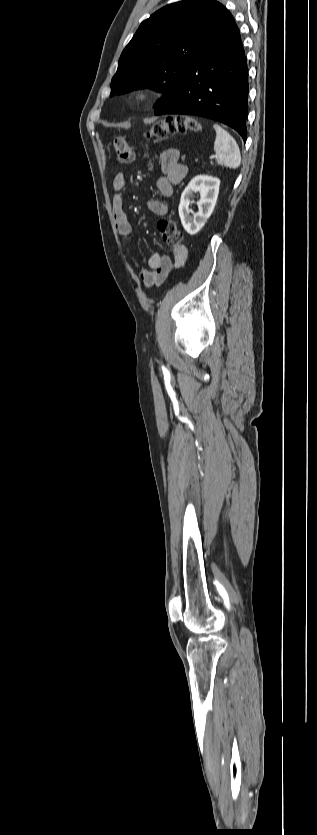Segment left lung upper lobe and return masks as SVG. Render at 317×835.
<instances>
[{
    "mask_svg": "<svg viewBox=\"0 0 317 835\" xmlns=\"http://www.w3.org/2000/svg\"><path fill=\"white\" fill-rule=\"evenodd\" d=\"M227 11L215 0H185L155 12L123 50L110 96L149 87L164 92L156 110L175 102L188 66Z\"/></svg>",
    "mask_w": 317,
    "mask_h": 835,
    "instance_id": "1",
    "label": "left lung upper lobe"
}]
</instances>
